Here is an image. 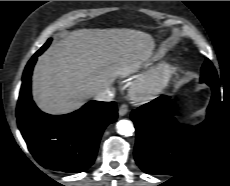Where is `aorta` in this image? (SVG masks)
Returning a JSON list of instances; mask_svg holds the SVG:
<instances>
[{
    "label": "aorta",
    "mask_w": 230,
    "mask_h": 186,
    "mask_svg": "<svg viewBox=\"0 0 230 186\" xmlns=\"http://www.w3.org/2000/svg\"><path fill=\"white\" fill-rule=\"evenodd\" d=\"M117 133L123 136H132L134 133V126L130 120L122 119L116 124Z\"/></svg>",
    "instance_id": "762f6f07"
}]
</instances>
